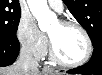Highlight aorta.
I'll list each match as a JSON object with an SVG mask.
<instances>
[{
	"label": "aorta",
	"instance_id": "obj_1",
	"mask_svg": "<svg viewBox=\"0 0 102 75\" xmlns=\"http://www.w3.org/2000/svg\"><path fill=\"white\" fill-rule=\"evenodd\" d=\"M27 2L42 31H46L57 21L56 15L49 10L46 0H28Z\"/></svg>",
	"mask_w": 102,
	"mask_h": 75
}]
</instances>
